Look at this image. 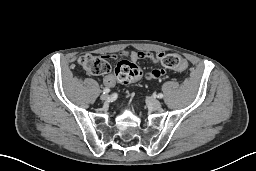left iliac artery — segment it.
<instances>
[{"label":"left iliac artery","instance_id":"left-iliac-artery-1","mask_svg":"<svg viewBox=\"0 0 256 171\" xmlns=\"http://www.w3.org/2000/svg\"><path fill=\"white\" fill-rule=\"evenodd\" d=\"M157 97L161 99V98H163V94H162V93H159V94L157 95Z\"/></svg>","mask_w":256,"mask_h":171}]
</instances>
